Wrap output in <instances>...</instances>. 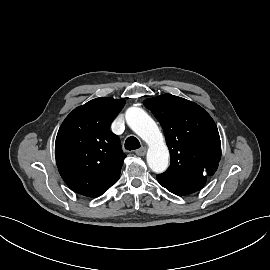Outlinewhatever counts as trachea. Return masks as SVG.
Masks as SVG:
<instances>
[{
    "mask_svg": "<svg viewBox=\"0 0 270 270\" xmlns=\"http://www.w3.org/2000/svg\"><path fill=\"white\" fill-rule=\"evenodd\" d=\"M141 147L139 140L136 137H128L125 141V148L127 150H135Z\"/></svg>",
    "mask_w": 270,
    "mask_h": 270,
    "instance_id": "obj_1",
    "label": "trachea"
}]
</instances>
